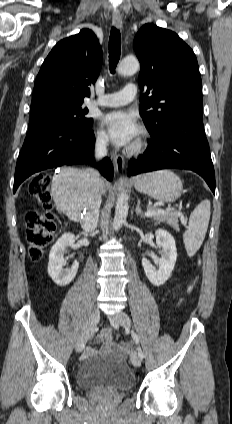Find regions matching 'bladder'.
I'll return each instance as SVG.
<instances>
[{
  "label": "bladder",
  "instance_id": "31cf9c89",
  "mask_svg": "<svg viewBox=\"0 0 232 424\" xmlns=\"http://www.w3.org/2000/svg\"><path fill=\"white\" fill-rule=\"evenodd\" d=\"M76 381L84 390L108 388L126 391L134 385L135 378L125 359L94 356L80 365L76 373Z\"/></svg>",
  "mask_w": 232,
  "mask_h": 424
}]
</instances>
